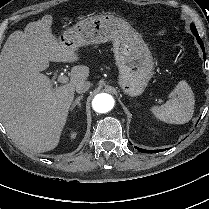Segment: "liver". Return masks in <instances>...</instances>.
Returning a JSON list of instances; mask_svg holds the SVG:
<instances>
[{
    "mask_svg": "<svg viewBox=\"0 0 209 209\" xmlns=\"http://www.w3.org/2000/svg\"><path fill=\"white\" fill-rule=\"evenodd\" d=\"M53 16L14 31L0 54V121L10 137L34 152L54 149L66 124L75 87L89 76V67L74 66L67 84L52 88L41 72L49 62H74V49L52 33Z\"/></svg>",
    "mask_w": 209,
    "mask_h": 209,
    "instance_id": "obj_1",
    "label": "liver"
}]
</instances>
